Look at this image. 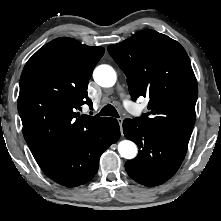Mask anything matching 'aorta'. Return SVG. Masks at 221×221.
Instances as JSON below:
<instances>
[{
    "label": "aorta",
    "mask_w": 221,
    "mask_h": 221,
    "mask_svg": "<svg viewBox=\"0 0 221 221\" xmlns=\"http://www.w3.org/2000/svg\"><path fill=\"white\" fill-rule=\"evenodd\" d=\"M95 82L102 87H112L117 80L115 70L109 65L96 67L93 73ZM120 155L126 159H133L137 155V146L130 140H123L118 144Z\"/></svg>",
    "instance_id": "aorta-1"
}]
</instances>
